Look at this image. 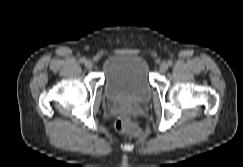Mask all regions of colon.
<instances>
[{"mask_svg": "<svg viewBox=\"0 0 243 167\" xmlns=\"http://www.w3.org/2000/svg\"><path fill=\"white\" fill-rule=\"evenodd\" d=\"M116 128L118 131L122 133L134 134V135L140 133V129L128 115H124L117 120Z\"/></svg>", "mask_w": 243, "mask_h": 167, "instance_id": "colon-1", "label": "colon"}]
</instances>
